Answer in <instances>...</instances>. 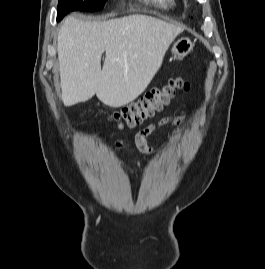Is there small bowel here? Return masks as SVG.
<instances>
[{"label": "small bowel", "mask_w": 265, "mask_h": 269, "mask_svg": "<svg viewBox=\"0 0 265 269\" xmlns=\"http://www.w3.org/2000/svg\"><path fill=\"white\" fill-rule=\"evenodd\" d=\"M186 119V114L184 111L179 110L174 115H168L160 118L155 123H152L148 125L143 130L139 131L135 136V145L136 148L144 153V154H152L154 153V148L149 146L147 143V137L156 129L165 125H173L176 127H179ZM121 145L118 144V148H120Z\"/></svg>", "instance_id": "c3829d8e"}]
</instances>
